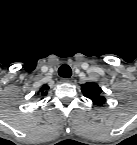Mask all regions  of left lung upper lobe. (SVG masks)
Listing matches in <instances>:
<instances>
[{
	"instance_id": "obj_1",
	"label": "left lung upper lobe",
	"mask_w": 137,
	"mask_h": 145,
	"mask_svg": "<svg viewBox=\"0 0 137 145\" xmlns=\"http://www.w3.org/2000/svg\"><path fill=\"white\" fill-rule=\"evenodd\" d=\"M81 90L85 97L90 99L94 105L102 106L106 99L102 96V89L93 82H87L81 85Z\"/></svg>"
}]
</instances>
